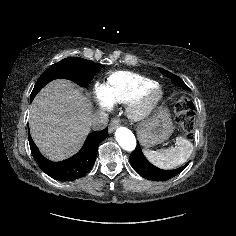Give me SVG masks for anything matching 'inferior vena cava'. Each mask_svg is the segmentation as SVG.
<instances>
[{
    "label": "inferior vena cava",
    "mask_w": 236,
    "mask_h": 236,
    "mask_svg": "<svg viewBox=\"0 0 236 236\" xmlns=\"http://www.w3.org/2000/svg\"><path fill=\"white\" fill-rule=\"evenodd\" d=\"M108 114L106 112H98L92 115L90 126L93 130H102L108 124Z\"/></svg>",
    "instance_id": "inferior-vena-cava-1"
}]
</instances>
